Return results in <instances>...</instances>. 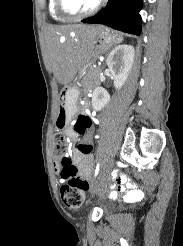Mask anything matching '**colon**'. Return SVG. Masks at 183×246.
<instances>
[{
  "mask_svg": "<svg viewBox=\"0 0 183 246\" xmlns=\"http://www.w3.org/2000/svg\"><path fill=\"white\" fill-rule=\"evenodd\" d=\"M65 116L61 115L58 125L62 126ZM74 131L85 138H94L97 134L96 125H92L90 117L80 115L74 123ZM78 152L85 157H96L94 147L89 143H78ZM52 154L55 168L61 179L60 195L63 203L71 209L81 207L84 199L83 193L89 189L88 180L79 174L77 167L68 155V145L64 135L56 132L53 136Z\"/></svg>",
  "mask_w": 183,
  "mask_h": 246,
  "instance_id": "colon-1",
  "label": "colon"
}]
</instances>
